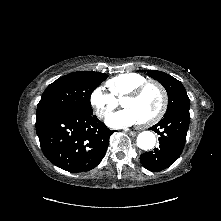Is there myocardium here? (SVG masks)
Segmentation results:
<instances>
[{
	"mask_svg": "<svg viewBox=\"0 0 221 221\" xmlns=\"http://www.w3.org/2000/svg\"><path fill=\"white\" fill-rule=\"evenodd\" d=\"M149 86H154L157 88L161 95V106L159 110L149 119L144 120L140 122V125L143 127H149L157 122H159L163 116L165 115L167 108H168V94L166 89L158 82L147 80L143 82L142 84L138 85L136 88H134L131 92H129L123 100L126 99H136L138 98Z\"/></svg>",
	"mask_w": 221,
	"mask_h": 221,
	"instance_id": "f54148a6",
	"label": "myocardium"
}]
</instances>
